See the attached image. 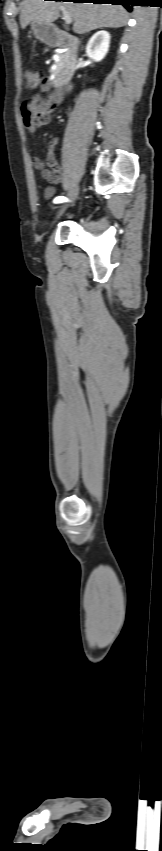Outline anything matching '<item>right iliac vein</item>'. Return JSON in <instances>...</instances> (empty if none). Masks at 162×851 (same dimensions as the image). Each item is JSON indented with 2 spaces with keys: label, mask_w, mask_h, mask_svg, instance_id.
I'll list each match as a JSON object with an SVG mask.
<instances>
[{
  "label": "right iliac vein",
  "mask_w": 162,
  "mask_h": 851,
  "mask_svg": "<svg viewBox=\"0 0 162 851\" xmlns=\"http://www.w3.org/2000/svg\"><path fill=\"white\" fill-rule=\"evenodd\" d=\"M78 194H79V184L76 183V184H73V186L71 187V189L69 191L70 201L75 200L77 198ZM69 205H70L69 203L62 205L60 207L59 211H58L57 217L60 216L67 209V207Z\"/></svg>",
  "instance_id": "1"
}]
</instances>
